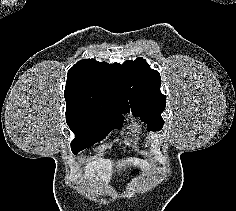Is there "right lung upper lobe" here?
Instances as JSON below:
<instances>
[{"label": "right lung upper lobe", "mask_w": 236, "mask_h": 211, "mask_svg": "<svg viewBox=\"0 0 236 211\" xmlns=\"http://www.w3.org/2000/svg\"><path fill=\"white\" fill-rule=\"evenodd\" d=\"M64 97L66 111H130L124 72L118 63L77 62L67 73Z\"/></svg>", "instance_id": "obj_1"}]
</instances>
